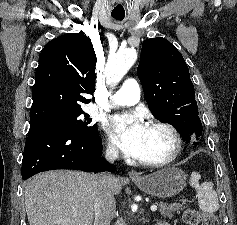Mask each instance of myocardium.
Wrapping results in <instances>:
<instances>
[{
    "instance_id": "f54148a6",
    "label": "myocardium",
    "mask_w": 237,
    "mask_h": 225,
    "mask_svg": "<svg viewBox=\"0 0 237 225\" xmlns=\"http://www.w3.org/2000/svg\"><path fill=\"white\" fill-rule=\"evenodd\" d=\"M148 127L158 128L166 131L172 138L171 152L164 158L158 160H142L138 159L141 165L148 167H162L174 161L182 149V139L178 130L171 124L159 120L149 122Z\"/></svg>"
}]
</instances>
